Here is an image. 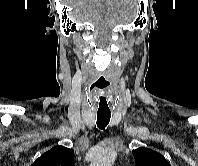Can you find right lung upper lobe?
I'll use <instances>...</instances> for the list:
<instances>
[{"mask_svg": "<svg viewBox=\"0 0 198 166\" xmlns=\"http://www.w3.org/2000/svg\"><path fill=\"white\" fill-rule=\"evenodd\" d=\"M32 166H74V150L56 146L42 154Z\"/></svg>", "mask_w": 198, "mask_h": 166, "instance_id": "right-lung-upper-lobe-1", "label": "right lung upper lobe"}]
</instances>
